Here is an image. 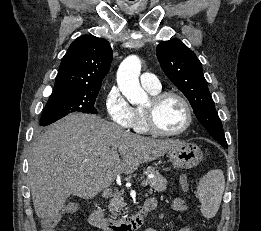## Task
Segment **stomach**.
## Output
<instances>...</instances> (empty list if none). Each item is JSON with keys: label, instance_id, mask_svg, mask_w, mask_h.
Here are the masks:
<instances>
[{"label": "stomach", "instance_id": "stomach-1", "mask_svg": "<svg viewBox=\"0 0 261 231\" xmlns=\"http://www.w3.org/2000/svg\"><path fill=\"white\" fill-rule=\"evenodd\" d=\"M169 159L175 168L189 169L197 166L202 160V152L195 144L181 142L168 151Z\"/></svg>", "mask_w": 261, "mask_h": 231}]
</instances>
